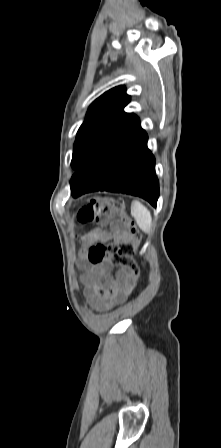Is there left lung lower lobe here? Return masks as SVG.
I'll use <instances>...</instances> for the list:
<instances>
[{"mask_svg":"<svg viewBox=\"0 0 221 448\" xmlns=\"http://www.w3.org/2000/svg\"><path fill=\"white\" fill-rule=\"evenodd\" d=\"M147 140L141 129L95 165L78 169L70 181L72 196L92 191L121 192L142 197L156 207L159 182Z\"/></svg>","mask_w":221,"mask_h":448,"instance_id":"0a47b994","label":"left lung lower lobe"}]
</instances>
